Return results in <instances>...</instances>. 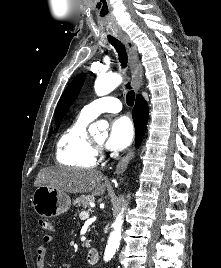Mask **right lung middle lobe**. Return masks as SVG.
Masks as SVG:
<instances>
[{
  "label": "right lung middle lobe",
  "instance_id": "right-lung-middle-lobe-1",
  "mask_svg": "<svg viewBox=\"0 0 221 268\" xmlns=\"http://www.w3.org/2000/svg\"><path fill=\"white\" fill-rule=\"evenodd\" d=\"M52 132H50L49 136H51Z\"/></svg>",
  "mask_w": 221,
  "mask_h": 268
}]
</instances>
